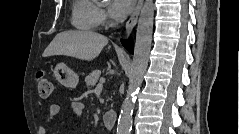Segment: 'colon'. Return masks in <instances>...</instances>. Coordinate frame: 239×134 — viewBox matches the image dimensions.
Returning <instances> with one entry per match:
<instances>
[{"label": "colon", "mask_w": 239, "mask_h": 134, "mask_svg": "<svg viewBox=\"0 0 239 134\" xmlns=\"http://www.w3.org/2000/svg\"><path fill=\"white\" fill-rule=\"evenodd\" d=\"M36 88L39 95L44 99L50 98L53 92V84L44 73L38 74L36 78Z\"/></svg>", "instance_id": "obj_1"}]
</instances>
